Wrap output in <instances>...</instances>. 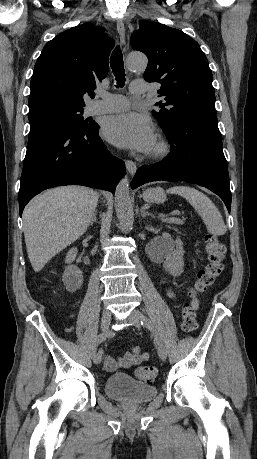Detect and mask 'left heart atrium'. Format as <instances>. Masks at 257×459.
I'll list each match as a JSON object with an SVG mask.
<instances>
[{
	"instance_id": "left-heart-atrium-1",
	"label": "left heart atrium",
	"mask_w": 257,
	"mask_h": 459,
	"mask_svg": "<svg viewBox=\"0 0 257 459\" xmlns=\"http://www.w3.org/2000/svg\"><path fill=\"white\" fill-rule=\"evenodd\" d=\"M106 138L115 145L139 152L152 150L156 135L151 120L141 114L127 112L109 118L104 127Z\"/></svg>"
}]
</instances>
